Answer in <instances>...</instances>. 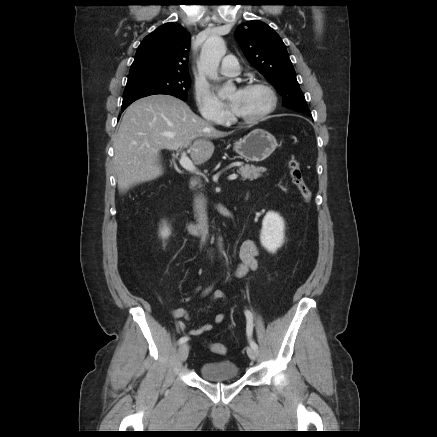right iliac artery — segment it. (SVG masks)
I'll list each match as a JSON object with an SVG mask.
<instances>
[{
	"label": "right iliac artery",
	"mask_w": 437,
	"mask_h": 437,
	"mask_svg": "<svg viewBox=\"0 0 437 437\" xmlns=\"http://www.w3.org/2000/svg\"><path fill=\"white\" fill-rule=\"evenodd\" d=\"M207 292V291H206ZM188 341V337H181L180 339H179V341H178V343L181 345V344H183V343H185V342H187Z\"/></svg>",
	"instance_id": "1"
}]
</instances>
